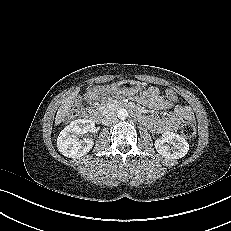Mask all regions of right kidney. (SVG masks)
Masks as SVG:
<instances>
[{
	"mask_svg": "<svg viewBox=\"0 0 231 231\" xmlns=\"http://www.w3.org/2000/svg\"><path fill=\"white\" fill-rule=\"evenodd\" d=\"M94 127L89 119H78L66 126L57 138L59 152L68 158H79L87 154L93 147L94 141L89 138L78 139V135L85 134Z\"/></svg>",
	"mask_w": 231,
	"mask_h": 231,
	"instance_id": "obj_1",
	"label": "right kidney"
}]
</instances>
